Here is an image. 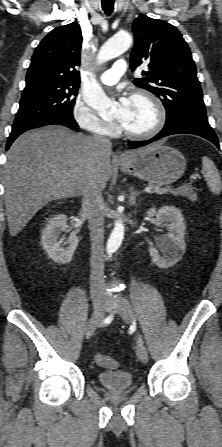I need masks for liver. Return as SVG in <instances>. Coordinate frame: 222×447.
Wrapping results in <instances>:
<instances>
[{
    "instance_id": "liver-1",
    "label": "liver",
    "mask_w": 222,
    "mask_h": 447,
    "mask_svg": "<svg viewBox=\"0 0 222 447\" xmlns=\"http://www.w3.org/2000/svg\"><path fill=\"white\" fill-rule=\"evenodd\" d=\"M111 155L94 138L58 125L18 137L7 153L3 175L10 235L16 236L49 202L83 194L90 180L105 187Z\"/></svg>"
}]
</instances>
